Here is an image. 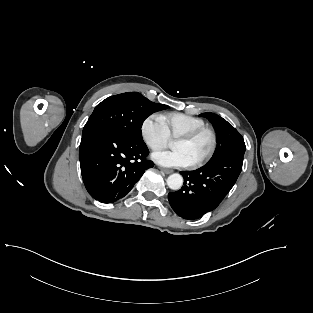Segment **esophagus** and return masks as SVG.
Here are the masks:
<instances>
[{
	"label": "esophagus",
	"mask_w": 313,
	"mask_h": 313,
	"mask_svg": "<svg viewBox=\"0 0 313 313\" xmlns=\"http://www.w3.org/2000/svg\"><path fill=\"white\" fill-rule=\"evenodd\" d=\"M160 170L165 173V174H171L173 172V170L171 169H166V168H160Z\"/></svg>",
	"instance_id": "1"
}]
</instances>
